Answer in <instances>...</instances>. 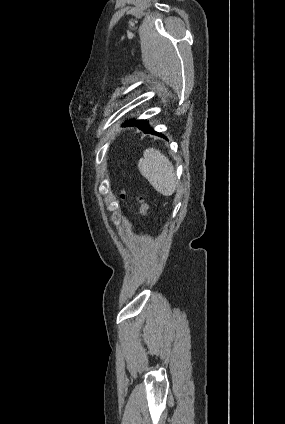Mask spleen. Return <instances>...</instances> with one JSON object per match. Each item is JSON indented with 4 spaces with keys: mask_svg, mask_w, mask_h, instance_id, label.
I'll list each match as a JSON object with an SVG mask.
<instances>
[{
    "mask_svg": "<svg viewBox=\"0 0 285 424\" xmlns=\"http://www.w3.org/2000/svg\"><path fill=\"white\" fill-rule=\"evenodd\" d=\"M138 168L153 188L164 196H171L177 187L174 166L169 159L155 148L144 151Z\"/></svg>",
    "mask_w": 285,
    "mask_h": 424,
    "instance_id": "1",
    "label": "spleen"
}]
</instances>
